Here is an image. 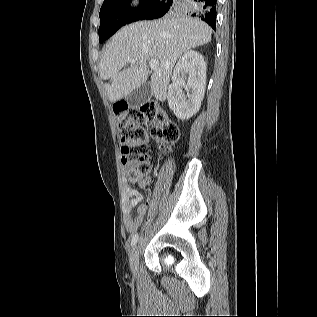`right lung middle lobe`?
I'll return each instance as SVG.
<instances>
[{"mask_svg":"<svg viewBox=\"0 0 317 317\" xmlns=\"http://www.w3.org/2000/svg\"><path fill=\"white\" fill-rule=\"evenodd\" d=\"M162 0H140L138 8H130V0H104L100 9L99 42L112 36L119 28L134 21L146 19ZM164 2V1H163ZM185 0H174L169 12L183 9Z\"/></svg>","mask_w":317,"mask_h":317,"instance_id":"right-lung-middle-lobe-1","label":"right lung middle lobe"}]
</instances>
